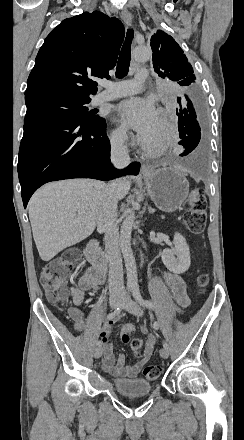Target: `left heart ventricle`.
Masks as SVG:
<instances>
[{"mask_svg":"<svg viewBox=\"0 0 244 440\" xmlns=\"http://www.w3.org/2000/svg\"><path fill=\"white\" fill-rule=\"evenodd\" d=\"M165 130L166 125L164 123L163 116L157 114L156 121L152 127V134L148 135V137L157 140L164 135Z\"/></svg>","mask_w":244,"mask_h":440,"instance_id":"obj_1","label":"left heart ventricle"}]
</instances>
